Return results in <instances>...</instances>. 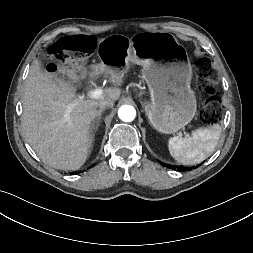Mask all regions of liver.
<instances>
[{"mask_svg": "<svg viewBox=\"0 0 253 253\" xmlns=\"http://www.w3.org/2000/svg\"><path fill=\"white\" fill-rule=\"evenodd\" d=\"M97 75L110 76L117 87L109 88L99 99L77 97L68 82L52 79L38 61L31 67L23 94L22 128L24 136L46 165L58 170H78L86 162L92 148L91 125L103 99L116 101L124 73L100 66Z\"/></svg>", "mask_w": 253, "mask_h": 253, "instance_id": "obj_1", "label": "liver"}]
</instances>
